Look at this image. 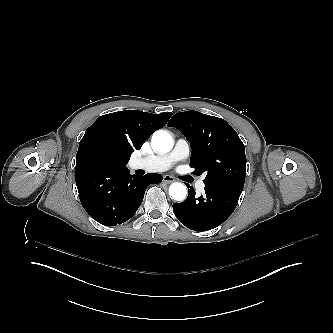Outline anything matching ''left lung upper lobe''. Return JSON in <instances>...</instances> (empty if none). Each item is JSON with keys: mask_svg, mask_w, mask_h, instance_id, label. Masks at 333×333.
Wrapping results in <instances>:
<instances>
[{"mask_svg": "<svg viewBox=\"0 0 333 333\" xmlns=\"http://www.w3.org/2000/svg\"><path fill=\"white\" fill-rule=\"evenodd\" d=\"M168 126L176 127L191 144L190 165L194 174L206 173L205 184L244 187L245 147L225 120L186 111L175 114Z\"/></svg>", "mask_w": 333, "mask_h": 333, "instance_id": "5c2ea615", "label": "left lung upper lobe"}]
</instances>
